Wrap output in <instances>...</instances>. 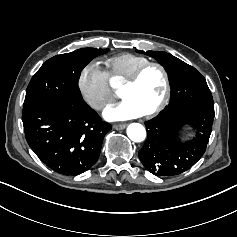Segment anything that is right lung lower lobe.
Instances as JSON below:
<instances>
[{"label":"right lung lower lobe","mask_w":237,"mask_h":237,"mask_svg":"<svg viewBox=\"0 0 237 237\" xmlns=\"http://www.w3.org/2000/svg\"><path fill=\"white\" fill-rule=\"evenodd\" d=\"M26 140L52 170L78 175L97 161L105 134L112 128L83 99L40 104L22 113Z\"/></svg>","instance_id":"1"}]
</instances>
